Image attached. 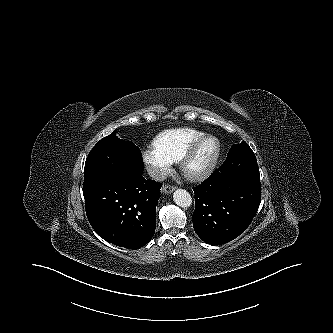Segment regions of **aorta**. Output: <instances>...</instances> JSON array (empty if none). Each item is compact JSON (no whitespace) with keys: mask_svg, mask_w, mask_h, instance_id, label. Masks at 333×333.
<instances>
[{"mask_svg":"<svg viewBox=\"0 0 333 333\" xmlns=\"http://www.w3.org/2000/svg\"><path fill=\"white\" fill-rule=\"evenodd\" d=\"M173 200L178 206L182 208H187L192 204L191 195L184 189H177L173 193Z\"/></svg>","mask_w":333,"mask_h":333,"instance_id":"aorta-1","label":"aorta"}]
</instances>
